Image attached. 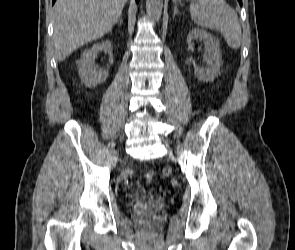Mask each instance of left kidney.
Here are the masks:
<instances>
[{
    "label": "left kidney",
    "instance_id": "left-kidney-1",
    "mask_svg": "<svg viewBox=\"0 0 295 250\" xmlns=\"http://www.w3.org/2000/svg\"><path fill=\"white\" fill-rule=\"evenodd\" d=\"M199 38L204 42L206 53L204 55V61L207 67L195 68V75L199 80L213 81L215 77L220 73L222 54L219 47V41L214 39L209 33L198 28H193L189 31L187 36V44L190 49L193 48L192 41Z\"/></svg>",
    "mask_w": 295,
    "mask_h": 250
}]
</instances>
